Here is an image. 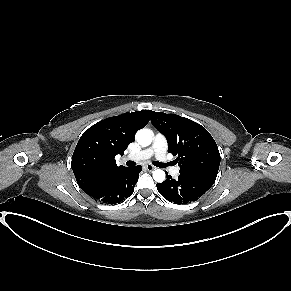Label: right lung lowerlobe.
I'll return each mask as SVG.
<instances>
[{"label":"right lung lower lobe","instance_id":"98d812e1","mask_svg":"<svg viewBox=\"0 0 291 291\" xmlns=\"http://www.w3.org/2000/svg\"><path fill=\"white\" fill-rule=\"evenodd\" d=\"M140 171V165L125 168L105 183L86 193L102 204L120 203L133 193Z\"/></svg>","mask_w":291,"mask_h":291}]
</instances>
